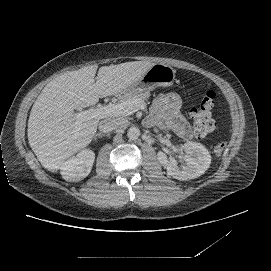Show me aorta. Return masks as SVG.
I'll return each mask as SVG.
<instances>
[{"label": "aorta", "mask_w": 271, "mask_h": 271, "mask_svg": "<svg viewBox=\"0 0 271 271\" xmlns=\"http://www.w3.org/2000/svg\"><path fill=\"white\" fill-rule=\"evenodd\" d=\"M127 136L130 140L137 139L140 136V130L136 126H131L127 130Z\"/></svg>", "instance_id": "1"}]
</instances>
